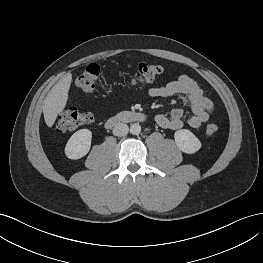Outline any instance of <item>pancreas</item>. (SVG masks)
Masks as SVG:
<instances>
[{
	"label": "pancreas",
	"mask_w": 263,
	"mask_h": 263,
	"mask_svg": "<svg viewBox=\"0 0 263 263\" xmlns=\"http://www.w3.org/2000/svg\"><path fill=\"white\" fill-rule=\"evenodd\" d=\"M126 112H121V113H118L117 116H121L123 114H125Z\"/></svg>",
	"instance_id": "pancreas-1"
}]
</instances>
